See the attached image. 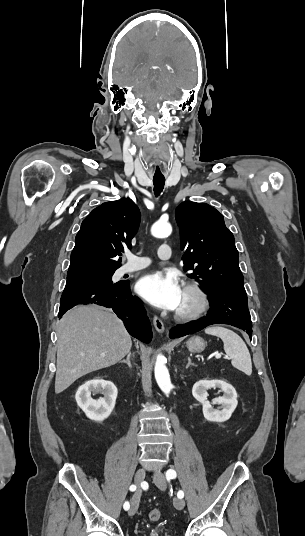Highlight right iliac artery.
Here are the masks:
<instances>
[{"instance_id":"1","label":"right iliac artery","mask_w":305,"mask_h":536,"mask_svg":"<svg viewBox=\"0 0 305 536\" xmlns=\"http://www.w3.org/2000/svg\"><path fill=\"white\" fill-rule=\"evenodd\" d=\"M129 489H130V491H135V490H136V486H135V485H131ZM123 508H124L125 510H128V509L130 508L129 502H125Z\"/></svg>"}]
</instances>
